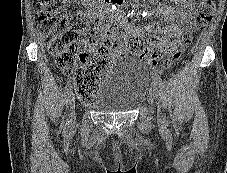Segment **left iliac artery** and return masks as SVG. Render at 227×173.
I'll use <instances>...</instances> for the list:
<instances>
[{"instance_id":"1","label":"left iliac artery","mask_w":227,"mask_h":173,"mask_svg":"<svg viewBox=\"0 0 227 173\" xmlns=\"http://www.w3.org/2000/svg\"><path fill=\"white\" fill-rule=\"evenodd\" d=\"M152 79L156 83V85L161 86L163 84L161 77L157 73H152Z\"/></svg>"}]
</instances>
